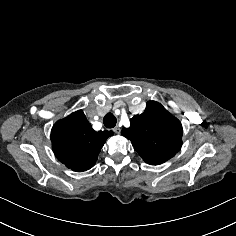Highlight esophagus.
Masks as SVG:
<instances>
[{
    "label": "esophagus",
    "mask_w": 236,
    "mask_h": 236,
    "mask_svg": "<svg viewBox=\"0 0 236 236\" xmlns=\"http://www.w3.org/2000/svg\"><path fill=\"white\" fill-rule=\"evenodd\" d=\"M113 131L116 133V134H119L121 132V129L116 126L115 128H113Z\"/></svg>",
    "instance_id": "obj_1"
}]
</instances>
